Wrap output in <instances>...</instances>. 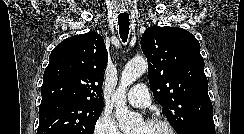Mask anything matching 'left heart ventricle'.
I'll list each match as a JSON object with an SVG mask.
<instances>
[{
	"instance_id": "b2bd125f",
	"label": "left heart ventricle",
	"mask_w": 244,
	"mask_h": 134,
	"mask_svg": "<svg viewBox=\"0 0 244 134\" xmlns=\"http://www.w3.org/2000/svg\"><path fill=\"white\" fill-rule=\"evenodd\" d=\"M132 134H170L169 131L161 125H150L145 122L140 123Z\"/></svg>"
}]
</instances>
